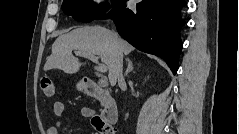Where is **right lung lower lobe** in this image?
Listing matches in <instances>:
<instances>
[{
  "label": "right lung lower lobe",
  "mask_w": 239,
  "mask_h": 134,
  "mask_svg": "<svg viewBox=\"0 0 239 134\" xmlns=\"http://www.w3.org/2000/svg\"><path fill=\"white\" fill-rule=\"evenodd\" d=\"M184 0H141L136 9L126 8L119 0L97 19L111 17L118 33L137 49L161 57L176 74L182 49L180 28L184 25L180 11Z\"/></svg>",
  "instance_id": "1"
}]
</instances>
